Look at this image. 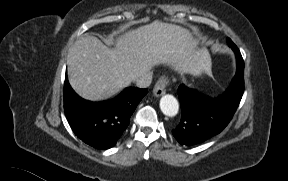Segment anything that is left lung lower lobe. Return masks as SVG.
Segmentation results:
<instances>
[{
  "instance_id": "1",
  "label": "left lung lower lobe",
  "mask_w": 288,
  "mask_h": 181,
  "mask_svg": "<svg viewBox=\"0 0 288 181\" xmlns=\"http://www.w3.org/2000/svg\"><path fill=\"white\" fill-rule=\"evenodd\" d=\"M230 47L241 59L234 43ZM244 92V75L235 76L226 91L217 98H208L185 85L178 88L181 103V121L172 130L176 140L186 146L200 144L219 134L230 122Z\"/></svg>"
}]
</instances>
